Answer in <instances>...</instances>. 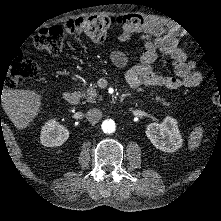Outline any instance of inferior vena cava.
Returning <instances> with one entry per match:
<instances>
[{"label": "inferior vena cava", "mask_w": 221, "mask_h": 221, "mask_svg": "<svg viewBox=\"0 0 221 221\" xmlns=\"http://www.w3.org/2000/svg\"><path fill=\"white\" fill-rule=\"evenodd\" d=\"M102 118V111L98 108H92L89 109L86 113V119L90 122V123H97L98 121H100Z\"/></svg>", "instance_id": "1"}]
</instances>
